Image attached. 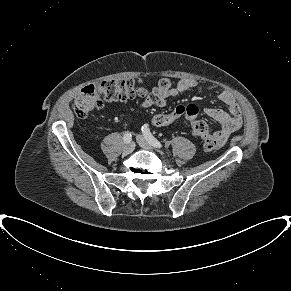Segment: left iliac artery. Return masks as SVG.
<instances>
[{"instance_id":"44dca946","label":"left iliac artery","mask_w":291,"mask_h":291,"mask_svg":"<svg viewBox=\"0 0 291 291\" xmlns=\"http://www.w3.org/2000/svg\"><path fill=\"white\" fill-rule=\"evenodd\" d=\"M142 133L146 140L155 148H162V144L151 134L147 124L142 126Z\"/></svg>"}]
</instances>
